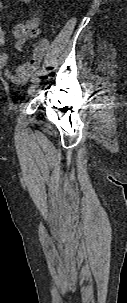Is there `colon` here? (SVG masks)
<instances>
[{
    "label": "colon",
    "instance_id": "5ec220e1",
    "mask_svg": "<svg viewBox=\"0 0 127 303\" xmlns=\"http://www.w3.org/2000/svg\"><path fill=\"white\" fill-rule=\"evenodd\" d=\"M26 30L31 33V34H34L36 33L37 29H36V26L35 25H29L26 27Z\"/></svg>",
    "mask_w": 127,
    "mask_h": 303
}]
</instances>
